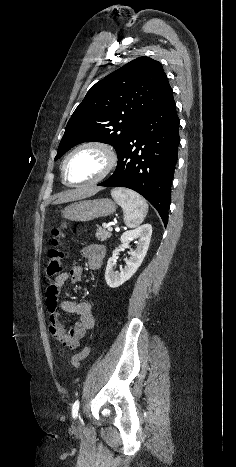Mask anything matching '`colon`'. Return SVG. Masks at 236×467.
<instances>
[{"mask_svg": "<svg viewBox=\"0 0 236 467\" xmlns=\"http://www.w3.org/2000/svg\"><path fill=\"white\" fill-rule=\"evenodd\" d=\"M67 226L68 222L64 221L52 231L53 238L51 240V247L48 251L45 267V273L48 278H56L61 272L62 262L65 257L64 251L61 248V238ZM89 352V347H85L81 352L75 354L71 360L72 366L76 369L79 368L81 362L89 355Z\"/></svg>", "mask_w": 236, "mask_h": 467, "instance_id": "obj_1", "label": "colon"}]
</instances>
